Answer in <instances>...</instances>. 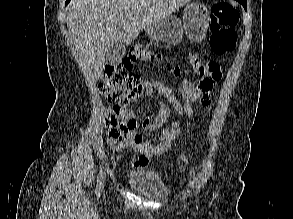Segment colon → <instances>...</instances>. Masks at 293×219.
Masks as SVG:
<instances>
[{
    "instance_id": "1",
    "label": "colon",
    "mask_w": 293,
    "mask_h": 219,
    "mask_svg": "<svg viewBox=\"0 0 293 219\" xmlns=\"http://www.w3.org/2000/svg\"><path fill=\"white\" fill-rule=\"evenodd\" d=\"M239 19V11L229 3L218 2L211 7L209 45L215 55H224L235 48L236 27ZM161 59L160 54L153 53L144 46L136 45L131 48L128 57L120 64L105 68L98 90L111 105L105 120L112 130L123 129L126 126L131 104L138 100L143 93L140 77L131 72L133 64L135 62H154ZM189 62L205 78L202 83L204 90L209 89L215 81L221 78L222 69L218 61L211 60L203 63L198 56L193 55ZM171 71L175 76H178L181 73V68L179 65H174Z\"/></svg>"
}]
</instances>
